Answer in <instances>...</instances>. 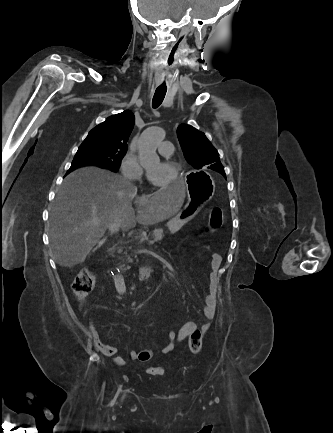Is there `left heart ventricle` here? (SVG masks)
I'll return each mask as SVG.
<instances>
[{
  "label": "left heart ventricle",
  "instance_id": "b2bd125f",
  "mask_svg": "<svg viewBox=\"0 0 333 433\" xmlns=\"http://www.w3.org/2000/svg\"><path fill=\"white\" fill-rule=\"evenodd\" d=\"M158 153H159V151H158ZM148 169L155 171L156 174L154 177V182H156V183L168 182L171 179L172 174H173L172 169L170 167H168L167 165H165L160 160H155L153 163H151L148 166Z\"/></svg>",
  "mask_w": 333,
  "mask_h": 433
}]
</instances>
